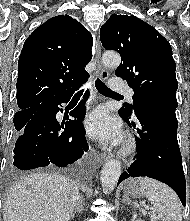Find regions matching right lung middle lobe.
<instances>
[{
  "instance_id": "right-lung-middle-lobe-1",
  "label": "right lung middle lobe",
  "mask_w": 190,
  "mask_h": 221,
  "mask_svg": "<svg viewBox=\"0 0 190 221\" xmlns=\"http://www.w3.org/2000/svg\"><path fill=\"white\" fill-rule=\"evenodd\" d=\"M37 107L22 112H18L14 116V126L17 131H21L25 124L31 119L33 114L36 112Z\"/></svg>"
}]
</instances>
